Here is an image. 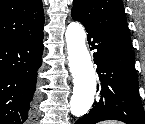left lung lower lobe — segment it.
<instances>
[{
	"mask_svg": "<svg viewBox=\"0 0 145 124\" xmlns=\"http://www.w3.org/2000/svg\"><path fill=\"white\" fill-rule=\"evenodd\" d=\"M72 18L86 28L90 49L96 50L93 57L101 80L93 108L75 124H95L103 120L145 124L132 50L97 32L73 14Z\"/></svg>",
	"mask_w": 145,
	"mask_h": 124,
	"instance_id": "0a47b994",
	"label": "left lung lower lobe"
}]
</instances>
